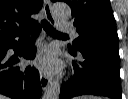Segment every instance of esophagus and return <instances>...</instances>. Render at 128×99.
Returning a JSON list of instances; mask_svg holds the SVG:
<instances>
[{
  "instance_id": "esophagus-1",
  "label": "esophagus",
  "mask_w": 128,
  "mask_h": 99,
  "mask_svg": "<svg viewBox=\"0 0 128 99\" xmlns=\"http://www.w3.org/2000/svg\"><path fill=\"white\" fill-rule=\"evenodd\" d=\"M43 11L45 14V18L47 19V21L52 24L55 25L56 24V20L54 19L52 12H51V3L49 0H46L44 2V7H43ZM40 83H41V87L43 90H46L47 87L49 86L50 83V79L43 73H40Z\"/></svg>"
}]
</instances>
